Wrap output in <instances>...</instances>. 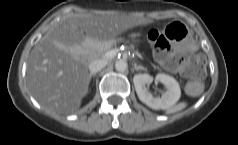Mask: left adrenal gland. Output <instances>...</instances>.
<instances>
[{"instance_id": "left-adrenal-gland-1", "label": "left adrenal gland", "mask_w": 238, "mask_h": 145, "mask_svg": "<svg viewBox=\"0 0 238 145\" xmlns=\"http://www.w3.org/2000/svg\"><path fill=\"white\" fill-rule=\"evenodd\" d=\"M134 69L139 71V70H147L145 67L141 66V65H137V64H134Z\"/></svg>"}]
</instances>
